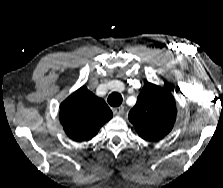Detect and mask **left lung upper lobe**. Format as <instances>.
<instances>
[{
    "instance_id": "5c2ea615",
    "label": "left lung upper lobe",
    "mask_w": 223,
    "mask_h": 188,
    "mask_svg": "<svg viewBox=\"0 0 223 188\" xmlns=\"http://www.w3.org/2000/svg\"><path fill=\"white\" fill-rule=\"evenodd\" d=\"M176 113L173 95L157 85L147 83L129 112V120L141 138L157 141L172 130Z\"/></svg>"
}]
</instances>
